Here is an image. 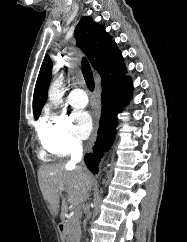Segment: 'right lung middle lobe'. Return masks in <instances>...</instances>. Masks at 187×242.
I'll return each instance as SVG.
<instances>
[{"instance_id": "obj_1", "label": "right lung middle lobe", "mask_w": 187, "mask_h": 242, "mask_svg": "<svg viewBox=\"0 0 187 242\" xmlns=\"http://www.w3.org/2000/svg\"><path fill=\"white\" fill-rule=\"evenodd\" d=\"M39 116H36L35 119H38Z\"/></svg>"}]
</instances>
